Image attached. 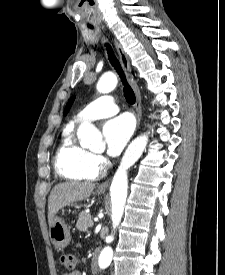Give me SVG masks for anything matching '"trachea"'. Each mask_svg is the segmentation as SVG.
Instances as JSON below:
<instances>
[{"mask_svg":"<svg viewBox=\"0 0 225 275\" xmlns=\"http://www.w3.org/2000/svg\"><path fill=\"white\" fill-rule=\"evenodd\" d=\"M106 48H107V53L109 56L110 63L115 68L116 72L118 73V75L124 85V88H123L124 97L128 103L134 104L135 103V94H134L132 88L130 87V85L127 83L124 71L121 68L119 61L117 60L116 56L114 55L113 50L109 44H106Z\"/></svg>","mask_w":225,"mask_h":275,"instance_id":"obj_1","label":"trachea"}]
</instances>
